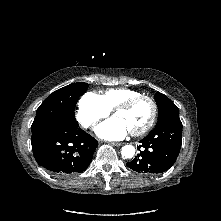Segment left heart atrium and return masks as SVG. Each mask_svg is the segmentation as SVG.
Segmentation results:
<instances>
[{"label": "left heart atrium", "mask_w": 221, "mask_h": 221, "mask_svg": "<svg viewBox=\"0 0 221 221\" xmlns=\"http://www.w3.org/2000/svg\"><path fill=\"white\" fill-rule=\"evenodd\" d=\"M129 132L130 130L126 124L118 118H111L100 124L96 129L97 135L106 140L123 139Z\"/></svg>", "instance_id": "obj_1"}]
</instances>
